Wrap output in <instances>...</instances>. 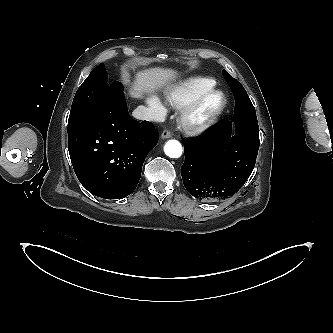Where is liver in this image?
<instances>
[{
	"instance_id": "6515ba94",
	"label": "liver",
	"mask_w": 333,
	"mask_h": 333,
	"mask_svg": "<svg viewBox=\"0 0 333 333\" xmlns=\"http://www.w3.org/2000/svg\"><path fill=\"white\" fill-rule=\"evenodd\" d=\"M176 76L177 72L169 68L155 67L139 71L129 89V95L133 98H143L145 94L167 86Z\"/></svg>"
}]
</instances>
